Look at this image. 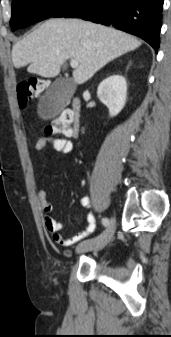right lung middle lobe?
Listing matches in <instances>:
<instances>
[{
  "label": "right lung middle lobe",
  "instance_id": "obj_1",
  "mask_svg": "<svg viewBox=\"0 0 171 337\" xmlns=\"http://www.w3.org/2000/svg\"><path fill=\"white\" fill-rule=\"evenodd\" d=\"M74 0H12L10 25L13 31L52 17Z\"/></svg>",
  "mask_w": 171,
  "mask_h": 337
}]
</instances>
